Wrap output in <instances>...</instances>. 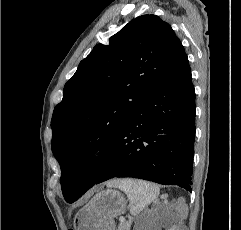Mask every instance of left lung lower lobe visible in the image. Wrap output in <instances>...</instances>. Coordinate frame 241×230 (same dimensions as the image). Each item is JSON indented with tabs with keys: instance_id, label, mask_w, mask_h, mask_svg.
<instances>
[{
	"instance_id": "0a47b994",
	"label": "left lung lower lobe",
	"mask_w": 241,
	"mask_h": 230,
	"mask_svg": "<svg viewBox=\"0 0 241 230\" xmlns=\"http://www.w3.org/2000/svg\"><path fill=\"white\" fill-rule=\"evenodd\" d=\"M195 112V90L184 54L144 97L119 135L79 160V197L114 177L178 185L191 192Z\"/></svg>"
}]
</instances>
